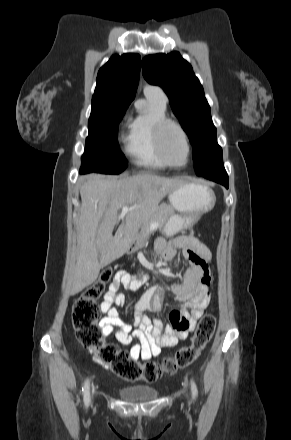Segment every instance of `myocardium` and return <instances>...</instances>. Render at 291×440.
<instances>
[{"instance_id":"myocardium-1","label":"myocardium","mask_w":291,"mask_h":440,"mask_svg":"<svg viewBox=\"0 0 291 440\" xmlns=\"http://www.w3.org/2000/svg\"><path fill=\"white\" fill-rule=\"evenodd\" d=\"M169 127L176 128L184 139L186 146V160L183 164H174L171 161H169V159L165 155L163 148V137L166 129ZM153 137H154L157 154L166 166H170L174 168H184L188 165L191 157V144H190L189 136L186 130L181 126V124H179L177 121L172 119H168V118L162 119L154 125Z\"/></svg>"}]
</instances>
